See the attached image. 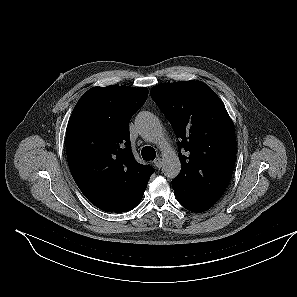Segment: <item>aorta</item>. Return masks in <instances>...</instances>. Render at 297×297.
Here are the masks:
<instances>
[{"label":"aorta","mask_w":297,"mask_h":297,"mask_svg":"<svg viewBox=\"0 0 297 297\" xmlns=\"http://www.w3.org/2000/svg\"><path fill=\"white\" fill-rule=\"evenodd\" d=\"M135 124L139 134L147 141L155 143L162 151V171L170 179H174L181 171L178 155L169 147L162 144L163 131L156 116L150 112H140Z\"/></svg>","instance_id":"1"}]
</instances>
